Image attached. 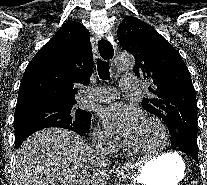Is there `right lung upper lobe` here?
I'll return each mask as SVG.
<instances>
[{
  "label": "right lung upper lobe",
  "instance_id": "cb5924a9",
  "mask_svg": "<svg viewBox=\"0 0 207 185\" xmlns=\"http://www.w3.org/2000/svg\"><path fill=\"white\" fill-rule=\"evenodd\" d=\"M92 71L90 33L78 22L64 23L26 67L16 111L40 105L74 106L77 84L88 85Z\"/></svg>",
  "mask_w": 207,
  "mask_h": 185
}]
</instances>
